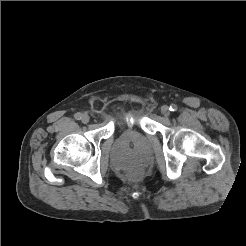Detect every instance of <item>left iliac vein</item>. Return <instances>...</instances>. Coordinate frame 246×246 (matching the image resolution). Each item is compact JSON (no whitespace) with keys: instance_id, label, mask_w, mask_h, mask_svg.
I'll use <instances>...</instances> for the list:
<instances>
[{"instance_id":"1","label":"left iliac vein","mask_w":246,"mask_h":246,"mask_svg":"<svg viewBox=\"0 0 246 246\" xmlns=\"http://www.w3.org/2000/svg\"><path fill=\"white\" fill-rule=\"evenodd\" d=\"M161 112L166 117H168L170 115V109L166 105H164V106L161 107Z\"/></svg>"}]
</instances>
